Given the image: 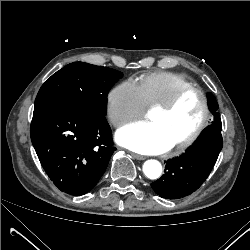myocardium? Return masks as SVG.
<instances>
[{
    "mask_svg": "<svg viewBox=\"0 0 250 250\" xmlns=\"http://www.w3.org/2000/svg\"><path fill=\"white\" fill-rule=\"evenodd\" d=\"M190 93H196L201 99L203 108L202 118L197 128L188 137L181 140L180 142H177L171 147L177 150H182L191 146L201 136L207 127L210 119V104L207 95L201 88L197 86H187L178 90L165 103L153 107V110H157L163 114L170 113L180 103V101Z\"/></svg>",
    "mask_w": 250,
    "mask_h": 250,
    "instance_id": "myocardium-1",
    "label": "myocardium"
}]
</instances>
